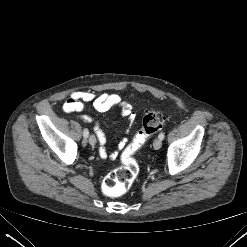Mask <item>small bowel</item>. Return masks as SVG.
I'll use <instances>...</instances> for the list:
<instances>
[{"label": "small bowel", "instance_id": "1", "mask_svg": "<svg viewBox=\"0 0 247 247\" xmlns=\"http://www.w3.org/2000/svg\"><path fill=\"white\" fill-rule=\"evenodd\" d=\"M87 103H92L93 108L100 113L108 112L115 108H120L121 115L123 117L131 118L132 107L130 104L123 102L118 94L114 93H100L96 94L92 91H76L73 92L69 98L64 102L62 108L65 112L82 111ZM81 120L86 123H94V131L99 141V154L102 158L110 157L115 159L118 156L119 150H121L126 144V138H123L118 144L117 148L108 153L105 143L106 136L101 129L98 122L90 115L83 114L80 116Z\"/></svg>", "mask_w": 247, "mask_h": 247}]
</instances>
